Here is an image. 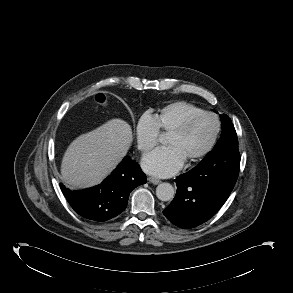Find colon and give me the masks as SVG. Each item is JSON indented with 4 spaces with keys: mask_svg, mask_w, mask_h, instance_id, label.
<instances>
[{
    "mask_svg": "<svg viewBox=\"0 0 293 293\" xmlns=\"http://www.w3.org/2000/svg\"><path fill=\"white\" fill-rule=\"evenodd\" d=\"M95 102L98 106V108H105L107 106L108 100L107 97L104 94H97L95 96Z\"/></svg>",
    "mask_w": 293,
    "mask_h": 293,
    "instance_id": "obj_1",
    "label": "colon"
}]
</instances>
